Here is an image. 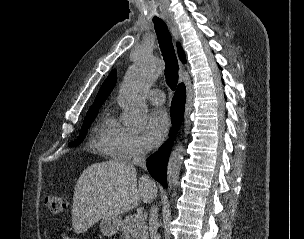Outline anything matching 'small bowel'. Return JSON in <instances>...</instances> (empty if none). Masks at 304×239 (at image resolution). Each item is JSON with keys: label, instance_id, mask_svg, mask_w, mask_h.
I'll list each match as a JSON object with an SVG mask.
<instances>
[{"label": "small bowel", "instance_id": "obj_1", "mask_svg": "<svg viewBox=\"0 0 304 239\" xmlns=\"http://www.w3.org/2000/svg\"><path fill=\"white\" fill-rule=\"evenodd\" d=\"M60 239H73V238L70 237L68 234L62 233V234L60 235Z\"/></svg>", "mask_w": 304, "mask_h": 239}]
</instances>
